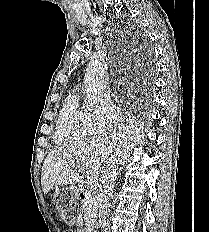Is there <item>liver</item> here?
Segmentation results:
<instances>
[{
  "instance_id": "liver-1",
  "label": "liver",
  "mask_w": 209,
  "mask_h": 232,
  "mask_svg": "<svg viewBox=\"0 0 209 232\" xmlns=\"http://www.w3.org/2000/svg\"><path fill=\"white\" fill-rule=\"evenodd\" d=\"M129 132V127H123L122 132L110 136L81 140L51 151L42 167L41 186L47 194L53 186L72 185L80 181L85 162L87 174L96 175L99 181L108 166L115 162L123 163L120 155L124 134Z\"/></svg>"
}]
</instances>
